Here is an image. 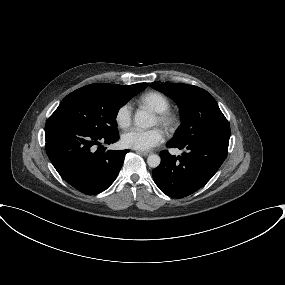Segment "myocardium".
I'll return each instance as SVG.
<instances>
[{
  "mask_svg": "<svg viewBox=\"0 0 285 285\" xmlns=\"http://www.w3.org/2000/svg\"><path fill=\"white\" fill-rule=\"evenodd\" d=\"M156 118L158 124L170 133L174 132L180 124L179 116L171 110L157 113Z\"/></svg>",
  "mask_w": 285,
  "mask_h": 285,
  "instance_id": "obj_1",
  "label": "myocardium"
}]
</instances>
